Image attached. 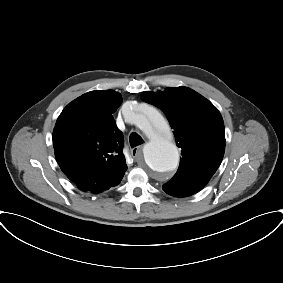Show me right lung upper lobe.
I'll use <instances>...</instances> for the list:
<instances>
[{
    "label": "right lung upper lobe",
    "instance_id": "cb5924a9",
    "mask_svg": "<svg viewBox=\"0 0 283 283\" xmlns=\"http://www.w3.org/2000/svg\"><path fill=\"white\" fill-rule=\"evenodd\" d=\"M121 102L120 93L113 90L91 91L69 103L57 119V162L82 191L116 186L127 170L123 134L112 116ZM64 164L69 167L62 168Z\"/></svg>",
    "mask_w": 283,
    "mask_h": 283
}]
</instances>
